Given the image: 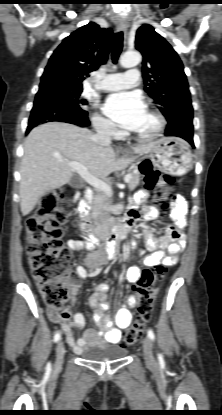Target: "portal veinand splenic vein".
<instances>
[{
	"mask_svg": "<svg viewBox=\"0 0 222 415\" xmlns=\"http://www.w3.org/2000/svg\"><path fill=\"white\" fill-rule=\"evenodd\" d=\"M60 161H63L62 159H59ZM67 164L74 169L75 171L78 172V174L91 186H93L94 188L104 192L108 197L112 196V189L111 187L105 183L104 181L96 178L95 176L91 175L87 168L75 161H67ZM131 179V174H127L124 177V182L125 183H129Z\"/></svg>",
	"mask_w": 222,
	"mask_h": 415,
	"instance_id": "obj_1",
	"label": "portal vein and splenic vein"
}]
</instances>
